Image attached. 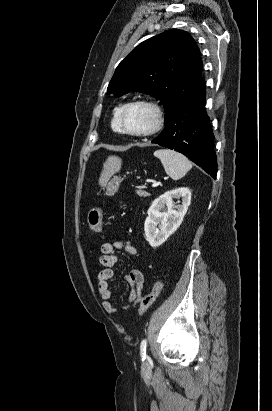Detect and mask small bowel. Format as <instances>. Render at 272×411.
I'll use <instances>...</instances> for the list:
<instances>
[{"label":"small bowel","instance_id":"c3829d8e","mask_svg":"<svg viewBox=\"0 0 272 411\" xmlns=\"http://www.w3.org/2000/svg\"><path fill=\"white\" fill-rule=\"evenodd\" d=\"M115 250H124L132 256L138 255L136 248L129 242L123 240L106 242L100 247L101 256L99 258V263L104 268L99 273L98 292L103 300V308L109 314H116L118 312L117 305L110 301L112 297L110 281L114 277V267L118 262V257L115 254ZM126 278L131 290L127 300L121 305V309L124 311L130 310L136 305L138 299L142 295L145 282L143 272L137 268L130 269Z\"/></svg>","mask_w":272,"mask_h":411}]
</instances>
